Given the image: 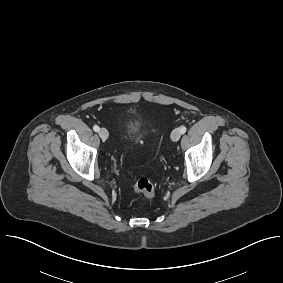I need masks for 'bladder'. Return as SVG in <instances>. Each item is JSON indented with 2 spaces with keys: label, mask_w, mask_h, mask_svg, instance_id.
<instances>
[{
  "label": "bladder",
  "mask_w": 283,
  "mask_h": 283,
  "mask_svg": "<svg viewBox=\"0 0 283 283\" xmlns=\"http://www.w3.org/2000/svg\"><path fill=\"white\" fill-rule=\"evenodd\" d=\"M125 137H131L137 130V124L131 119H126L123 124Z\"/></svg>",
  "instance_id": "31cf9c89"
}]
</instances>
